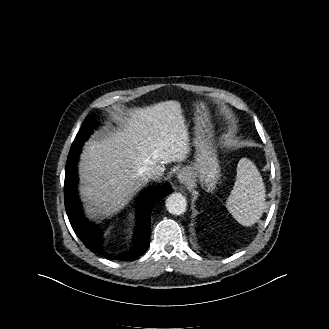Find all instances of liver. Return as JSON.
<instances>
[{
    "label": "liver",
    "mask_w": 329,
    "mask_h": 329,
    "mask_svg": "<svg viewBox=\"0 0 329 329\" xmlns=\"http://www.w3.org/2000/svg\"><path fill=\"white\" fill-rule=\"evenodd\" d=\"M117 117L119 128L88 141L81 155L80 193L87 213L108 216L122 209L147 183L144 167L181 162L190 139L181 104L170 100L134 108Z\"/></svg>",
    "instance_id": "1"
}]
</instances>
